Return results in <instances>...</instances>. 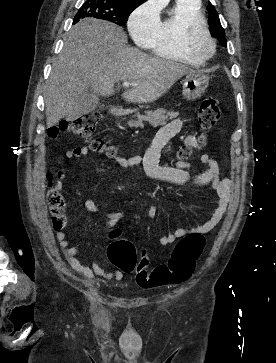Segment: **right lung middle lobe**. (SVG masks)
<instances>
[{
	"mask_svg": "<svg viewBox=\"0 0 276 363\" xmlns=\"http://www.w3.org/2000/svg\"><path fill=\"white\" fill-rule=\"evenodd\" d=\"M136 7V3L112 0H87L78 10L73 23L75 24L84 18L91 17L124 26L127 23L128 16Z\"/></svg>",
	"mask_w": 276,
	"mask_h": 363,
	"instance_id": "right-lung-middle-lobe-1",
	"label": "right lung middle lobe"
}]
</instances>
